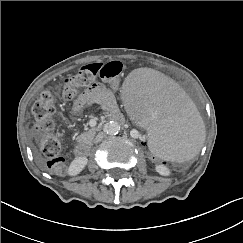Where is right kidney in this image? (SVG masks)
I'll return each mask as SVG.
<instances>
[{
    "mask_svg": "<svg viewBox=\"0 0 243 243\" xmlns=\"http://www.w3.org/2000/svg\"><path fill=\"white\" fill-rule=\"evenodd\" d=\"M88 159L86 157H77L75 158L68 169V174L75 176L79 174L87 165Z\"/></svg>",
    "mask_w": 243,
    "mask_h": 243,
    "instance_id": "1",
    "label": "right kidney"
}]
</instances>
